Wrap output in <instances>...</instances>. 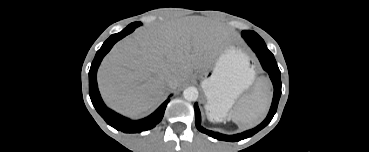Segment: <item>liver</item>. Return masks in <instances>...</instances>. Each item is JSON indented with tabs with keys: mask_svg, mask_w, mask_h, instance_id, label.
Here are the masks:
<instances>
[{
	"mask_svg": "<svg viewBox=\"0 0 369 152\" xmlns=\"http://www.w3.org/2000/svg\"><path fill=\"white\" fill-rule=\"evenodd\" d=\"M226 38L225 30L208 19H179L140 28L104 58L98 71L101 95L116 111L142 117L170 89L187 81L194 69L207 66Z\"/></svg>",
	"mask_w": 369,
	"mask_h": 152,
	"instance_id": "liver-1",
	"label": "liver"
}]
</instances>
